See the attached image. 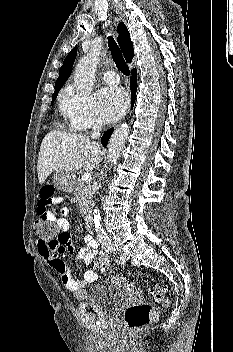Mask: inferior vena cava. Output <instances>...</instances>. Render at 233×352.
<instances>
[{
  "mask_svg": "<svg viewBox=\"0 0 233 352\" xmlns=\"http://www.w3.org/2000/svg\"><path fill=\"white\" fill-rule=\"evenodd\" d=\"M102 127H103L102 120L97 118V117H95L93 119V127H92L93 132H92V135H91L92 139H96V138H98L100 136V131H101Z\"/></svg>",
  "mask_w": 233,
  "mask_h": 352,
  "instance_id": "602c4592",
  "label": "inferior vena cava"
}]
</instances>
